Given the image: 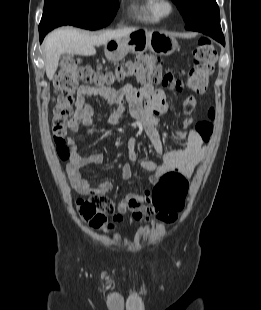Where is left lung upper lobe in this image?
Segmentation results:
<instances>
[{"label": "left lung upper lobe", "instance_id": "1", "mask_svg": "<svg viewBox=\"0 0 261 310\" xmlns=\"http://www.w3.org/2000/svg\"><path fill=\"white\" fill-rule=\"evenodd\" d=\"M176 3L186 22V27L193 23L212 20L220 24L219 7L216 0H172Z\"/></svg>", "mask_w": 261, "mask_h": 310}]
</instances>
